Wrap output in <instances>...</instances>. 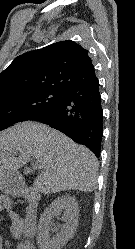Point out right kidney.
I'll return each mask as SVG.
<instances>
[{
  "label": "right kidney",
  "instance_id": "obj_1",
  "mask_svg": "<svg viewBox=\"0 0 135 249\" xmlns=\"http://www.w3.org/2000/svg\"><path fill=\"white\" fill-rule=\"evenodd\" d=\"M62 213L65 225L58 231L52 219ZM78 216L79 207L74 196L64 195L54 200L39 219L37 231L39 249H62L76 232Z\"/></svg>",
  "mask_w": 135,
  "mask_h": 249
}]
</instances>
